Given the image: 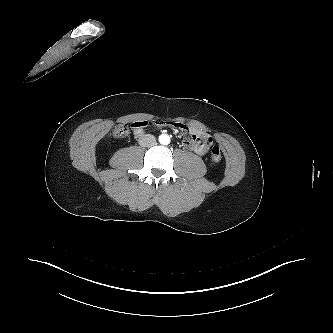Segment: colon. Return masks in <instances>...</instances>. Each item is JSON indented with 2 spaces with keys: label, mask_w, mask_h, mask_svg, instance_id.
Listing matches in <instances>:
<instances>
[{
  "label": "colon",
  "mask_w": 333,
  "mask_h": 333,
  "mask_svg": "<svg viewBox=\"0 0 333 333\" xmlns=\"http://www.w3.org/2000/svg\"><path fill=\"white\" fill-rule=\"evenodd\" d=\"M129 132H130L129 125L121 124L115 129L114 137L115 138H124V137L128 136ZM221 160H222V155H221V151H220L219 147L213 146L212 150H211V161L214 164H217V163L221 162Z\"/></svg>",
  "instance_id": "colon-1"
}]
</instances>
